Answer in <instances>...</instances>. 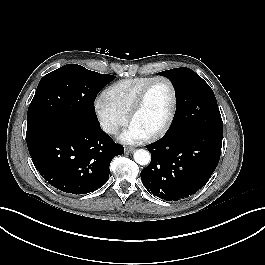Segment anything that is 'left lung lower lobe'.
Segmentation results:
<instances>
[{
	"instance_id": "1",
	"label": "left lung lower lobe",
	"mask_w": 265,
	"mask_h": 265,
	"mask_svg": "<svg viewBox=\"0 0 265 265\" xmlns=\"http://www.w3.org/2000/svg\"><path fill=\"white\" fill-rule=\"evenodd\" d=\"M222 137L202 129L165 135L147 146L152 158L141 171L142 183L150 193L168 201L196 193L218 165Z\"/></svg>"
}]
</instances>
